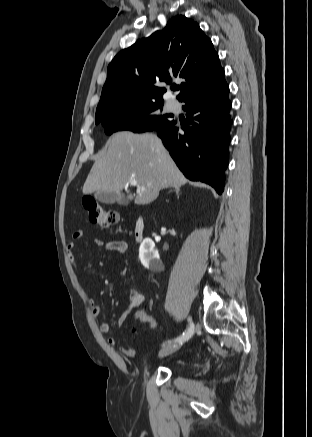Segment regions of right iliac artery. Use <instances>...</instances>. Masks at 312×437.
<instances>
[{
  "label": "right iliac artery",
  "mask_w": 312,
  "mask_h": 437,
  "mask_svg": "<svg viewBox=\"0 0 312 437\" xmlns=\"http://www.w3.org/2000/svg\"><path fill=\"white\" fill-rule=\"evenodd\" d=\"M190 325L188 327V329L178 338L175 339V341L183 343L185 341H187L193 334L194 331V325L191 323V320L189 319ZM169 343H171V341H169Z\"/></svg>",
  "instance_id": "82829eb1"
}]
</instances>
